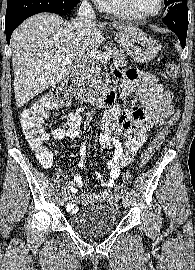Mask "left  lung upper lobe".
<instances>
[{
  "mask_svg": "<svg viewBox=\"0 0 195 270\" xmlns=\"http://www.w3.org/2000/svg\"><path fill=\"white\" fill-rule=\"evenodd\" d=\"M164 2H165V6H169L176 2H187V0H164Z\"/></svg>",
  "mask_w": 195,
  "mask_h": 270,
  "instance_id": "left-lung-upper-lobe-1",
  "label": "left lung upper lobe"
}]
</instances>
